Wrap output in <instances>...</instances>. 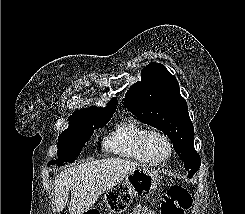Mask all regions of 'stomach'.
Returning a JSON list of instances; mask_svg holds the SVG:
<instances>
[{
    "mask_svg": "<svg viewBox=\"0 0 245 214\" xmlns=\"http://www.w3.org/2000/svg\"><path fill=\"white\" fill-rule=\"evenodd\" d=\"M159 182L156 171L137 168L120 183L106 191L105 203L111 212L121 214L129 207L135 195L155 191Z\"/></svg>",
    "mask_w": 245,
    "mask_h": 214,
    "instance_id": "0dacf381",
    "label": "stomach"
}]
</instances>
